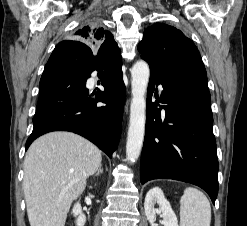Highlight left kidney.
I'll list each match as a JSON object with an SVG mask.
<instances>
[{
	"mask_svg": "<svg viewBox=\"0 0 247 226\" xmlns=\"http://www.w3.org/2000/svg\"><path fill=\"white\" fill-rule=\"evenodd\" d=\"M155 204L159 205V209L154 207ZM144 209L145 215L151 226H155L154 222L156 220V213L158 212H162V223L164 226H178L177 217L160 188L154 187L147 192L144 202Z\"/></svg>",
	"mask_w": 247,
	"mask_h": 226,
	"instance_id": "obj_1",
	"label": "left kidney"
}]
</instances>
